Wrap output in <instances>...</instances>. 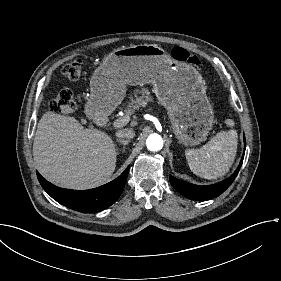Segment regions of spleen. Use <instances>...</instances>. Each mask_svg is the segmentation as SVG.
<instances>
[{
    "mask_svg": "<svg viewBox=\"0 0 281 281\" xmlns=\"http://www.w3.org/2000/svg\"><path fill=\"white\" fill-rule=\"evenodd\" d=\"M225 124L233 127L235 122L226 119ZM238 144L236 130L221 131L200 149L185 151L191 171L205 179H216L224 176L232 166Z\"/></svg>",
    "mask_w": 281,
    "mask_h": 281,
    "instance_id": "spleen-1",
    "label": "spleen"
}]
</instances>
